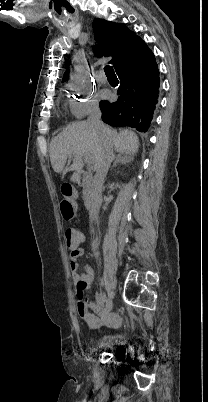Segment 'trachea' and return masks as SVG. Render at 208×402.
<instances>
[{
    "label": "trachea",
    "mask_w": 208,
    "mask_h": 402,
    "mask_svg": "<svg viewBox=\"0 0 208 402\" xmlns=\"http://www.w3.org/2000/svg\"><path fill=\"white\" fill-rule=\"evenodd\" d=\"M104 71H105V74H106V76L108 78H117L116 75H115L113 67H111L110 65H106L104 67Z\"/></svg>",
    "instance_id": "1"
}]
</instances>
